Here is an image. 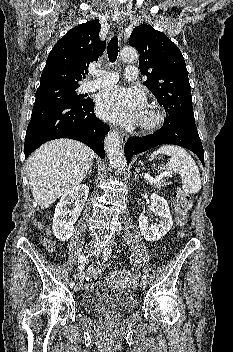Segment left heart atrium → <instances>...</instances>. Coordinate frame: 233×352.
<instances>
[{"label":"left heart atrium","instance_id":"left-heart-atrium-1","mask_svg":"<svg viewBox=\"0 0 233 352\" xmlns=\"http://www.w3.org/2000/svg\"><path fill=\"white\" fill-rule=\"evenodd\" d=\"M99 115L122 125H132L143 115L145 99L138 89L115 86L103 90L97 98Z\"/></svg>","mask_w":233,"mask_h":352}]
</instances>
